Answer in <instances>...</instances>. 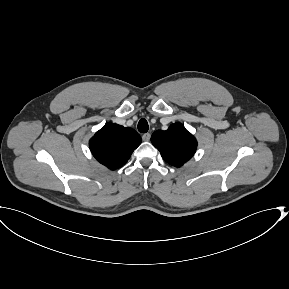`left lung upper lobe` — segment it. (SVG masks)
<instances>
[{
  "label": "left lung upper lobe",
  "mask_w": 289,
  "mask_h": 289,
  "mask_svg": "<svg viewBox=\"0 0 289 289\" xmlns=\"http://www.w3.org/2000/svg\"><path fill=\"white\" fill-rule=\"evenodd\" d=\"M152 144L160 151L166 162L181 167L195 153L197 141L180 123L172 124L167 130H157L151 136Z\"/></svg>",
  "instance_id": "1"
}]
</instances>
